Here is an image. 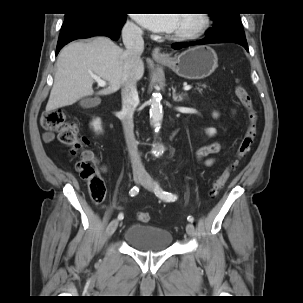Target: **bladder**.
<instances>
[{"mask_svg": "<svg viewBox=\"0 0 303 303\" xmlns=\"http://www.w3.org/2000/svg\"><path fill=\"white\" fill-rule=\"evenodd\" d=\"M124 241L142 251H162L169 247L172 235L169 231L151 225L132 224L124 234Z\"/></svg>", "mask_w": 303, "mask_h": 303, "instance_id": "1", "label": "bladder"}]
</instances>
